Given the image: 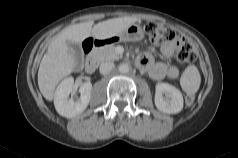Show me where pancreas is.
Returning <instances> with one entry per match:
<instances>
[{"mask_svg": "<svg viewBox=\"0 0 238 158\" xmlns=\"http://www.w3.org/2000/svg\"><path fill=\"white\" fill-rule=\"evenodd\" d=\"M93 57L98 63H102L105 61H113L122 58L121 55L117 54L115 51V45H106L99 49H96L93 52Z\"/></svg>", "mask_w": 238, "mask_h": 158, "instance_id": "cf45deb5", "label": "pancreas"}]
</instances>
